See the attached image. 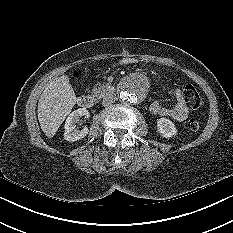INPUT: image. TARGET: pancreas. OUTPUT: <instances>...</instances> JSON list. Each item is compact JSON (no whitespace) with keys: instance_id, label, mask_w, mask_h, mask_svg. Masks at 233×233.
<instances>
[{"instance_id":"1","label":"pancreas","mask_w":233,"mask_h":233,"mask_svg":"<svg viewBox=\"0 0 233 233\" xmlns=\"http://www.w3.org/2000/svg\"><path fill=\"white\" fill-rule=\"evenodd\" d=\"M112 90V86L109 85V83H103L99 85L98 88L92 89V94L94 97L100 99L104 97L108 92Z\"/></svg>"}]
</instances>
